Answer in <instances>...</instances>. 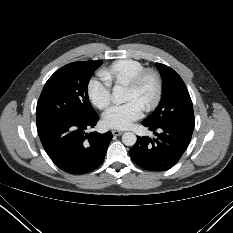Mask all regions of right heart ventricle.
<instances>
[{"label": "right heart ventricle", "mask_w": 233, "mask_h": 233, "mask_svg": "<svg viewBox=\"0 0 233 233\" xmlns=\"http://www.w3.org/2000/svg\"><path fill=\"white\" fill-rule=\"evenodd\" d=\"M143 63L134 59H119L99 71V75L110 85L126 84L134 75L144 69Z\"/></svg>", "instance_id": "1"}]
</instances>
